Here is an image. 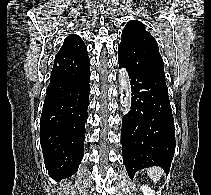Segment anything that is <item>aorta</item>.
Segmentation results:
<instances>
[{"mask_svg": "<svg viewBox=\"0 0 211 195\" xmlns=\"http://www.w3.org/2000/svg\"><path fill=\"white\" fill-rule=\"evenodd\" d=\"M119 94L121 110L126 115L131 106V85L129 75L125 68L119 73Z\"/></svg>", "mask_w": 211, "mask_h": 195, "instance_id": "762f6f07", "label": "aorta"}]
</instances>
